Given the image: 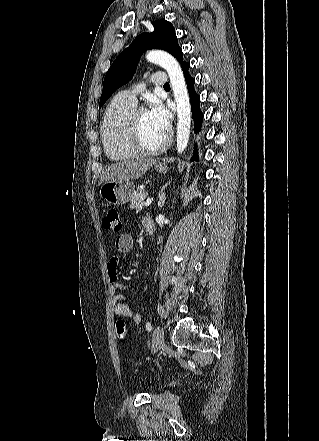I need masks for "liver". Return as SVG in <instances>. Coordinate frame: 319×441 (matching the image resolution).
<instances>
[{
  "label": "liver",
  "instance_id": "1",
  "mask_svg": "<svg viewBox=\"0 0 319 441\" xmlns=\"http://www.w3.org/2000/svg\"><path fill=\"white\" fill-rule=\"evenodd\" d=\"M155 163V159H135L113 163L103 170L99 185L115 180L130 181L137 179L145 174Z\"/></svg>",
  "mask_w": 319,
  "mask_h": 441
}]
</instances>
